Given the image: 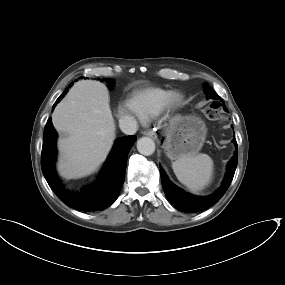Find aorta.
Listing matches in <instances>:
<instances>
[{"mask_svg": "<svg viewBox=\"0 0 285 285\" xmlns=\"http://www.w3.org/2000/svg\"><path fill=\"white\" fill-rule=\"evenodd\" d=\"M137 150L142 155H152L155 151V142L149 137H142L137 141Z\"/></svg>", "mask_w": 285, "mask_h": 285, "instance_id": "obj_1", "label": "aorta"}]
</instances>
